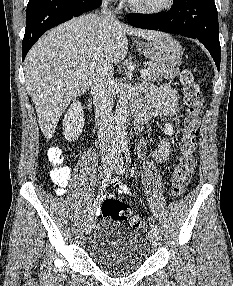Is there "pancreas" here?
Listing matches in <instances>:
<instances>
[{
  "instance_id": "1",
  "label": "pancreas",
  "mask_w": 233,
  "mask_h": 286,
  "mask_svg": "<svg viewBox=\"0 0 233 286\" xmlns=\"http://www.w3.org/2000/svg\"><path fill=\"white\" fill-rule=\"evenodd\" d=\"M149 74L143 76L145 81H162L165 79H173L179 75L178 68H166L151 64L148 68Z\"/></svg>"
}]
</instances>
